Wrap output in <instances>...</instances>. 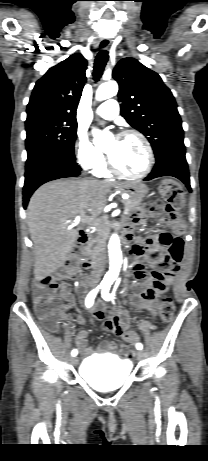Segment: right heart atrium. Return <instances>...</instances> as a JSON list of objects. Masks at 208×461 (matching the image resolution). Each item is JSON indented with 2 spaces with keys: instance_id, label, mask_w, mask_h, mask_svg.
Listing matches in <instances>:
<instances>
[{
  "instance_id": "d8ad5b80",
  "label": "right heart atrium",
  "mask_w": 208,
  "mask_h": 461,
  "mask_svg": "<svg viewBox=\"0 0 208 461\" xmlns=\"http://www.w3.org/2000/svg\"><path fill=\"white\" fill-rule=\"evenodd\" d=\"M75 157L84 170H94L103 161V154L96 149L83 133L78 134L75 142Z\"/></svg>"
}]
</instances>
